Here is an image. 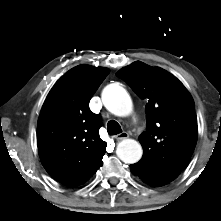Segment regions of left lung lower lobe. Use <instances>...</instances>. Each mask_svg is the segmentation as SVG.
I'll list each match as a JSON object with an SVG mask.
<instances>
[{
    "label": "left lung lower lobe",
    "instance_id": "obj_1",
    "mask_svg": "<svg viewBox=\"0 0 221 221\" xmlns=\"http://www.w3.org/2000/svg\"><path fill=\"white\" fill-rule=\"evenodd\" d=\"M130 167H131V172H132L134 175H136V172H135V170H134V168H133V165H131Z\"/></svg>",
    "mask_w": 221,
    "mask_h": 221
}]
</instances>
